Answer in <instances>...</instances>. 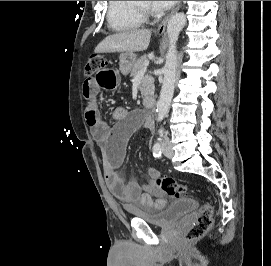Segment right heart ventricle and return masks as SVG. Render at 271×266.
<instances>
[{
	"instance_id": "obj_1",
	"label": "right heart ventricle",
	"mask_w": 271,
	"mask_h": 266,
	"mask_svg": "<svg viewBox=\"0 0 271 266\" xmlns=\"http://www.w3.org/2000/svg\"><path fill=\"white\" fill-rule=\"evenodd\" d=\"M107 21L113 30L125 32L139 28L144 17L133 8L131 1H109Z\"/></svg>"
}]
</instances>
